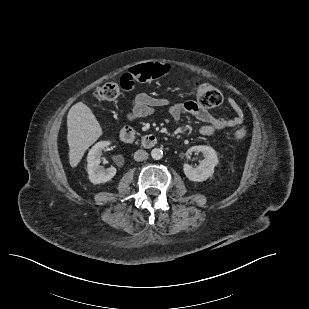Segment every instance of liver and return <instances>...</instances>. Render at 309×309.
<instances>
[{"label":"liver","mask_w":309,"mask_h":309,"mask_svg":"<svg viewBox=\"0 0 309 309\" xmlns=\"http://www.w3.org/2000/svg\"><path fill=\"white\" fill-rule=\"evenodd\" d=\"M67 128L69 164L75 168L85 151L102 135V128L91 109L82 102L70 108Z\"/></svg>","instance_id":"1"}]
</instances>
